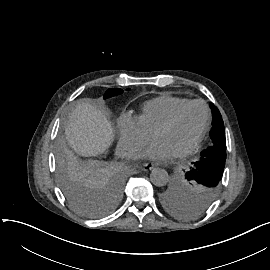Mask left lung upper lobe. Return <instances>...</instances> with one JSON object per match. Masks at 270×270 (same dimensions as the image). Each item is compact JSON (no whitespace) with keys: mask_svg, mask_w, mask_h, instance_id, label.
Returning <instances> with one entry per match:
<instances>
[{"mask_svg":"<svg viewBox=\"0 0 270 270\" xmlns=\"http://www.w3.org/2000/svg\"><path fill=\"white\" fill-rule=\"evenodd\" d=\"M213 128L212 145L193 162L191 170L161 196L163 206L174 215L194 217L207 209L217 196L226 160L225 129L217 107L210 103Z\"/></svg>","mask_w":270,"mask_h":270,"instance_id":"5c2ea615","label":"left lung upper lobe"}]
</instances>
